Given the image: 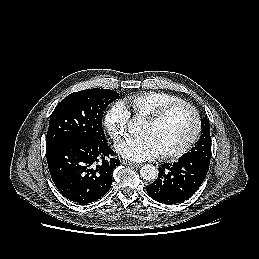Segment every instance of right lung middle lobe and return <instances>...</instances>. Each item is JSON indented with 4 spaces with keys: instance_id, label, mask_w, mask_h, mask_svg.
<instances>
[{
    "instance_id": "right-lung-middle-lobe-1",
    "label": "right lung middle lobe",
    "mask_w": 259,
    "mask_h": 259,
    "mask_svg": "<svg viewBox=\"0 0 259 259\" xmlns=\"http://www.w3.org/2000/svg\"><path fill=\"white\" fill-rule=\"evenodd\" d=\"M118 98L110 89H86L65 97L51 114L46 148L68 139L105 142L103 113Z\"/></svg>"
}]
</instances>
